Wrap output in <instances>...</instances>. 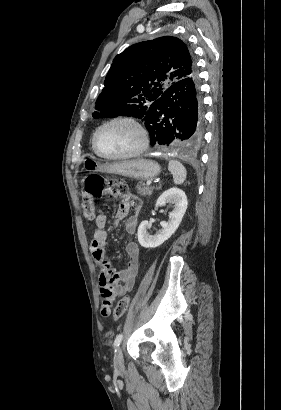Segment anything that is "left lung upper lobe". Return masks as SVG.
<instances>
[{
  "label": "left lung upper lobe",
  "mask_w": 281,
  "mask_h": 410,
  "mask_svg": "<svg viewBox=\"0 0 281 410\" xmlns=\"http://www.w3.org/2000/svg\"><path fill=\"white\" fill-rule=\"evenodd\" d=\"M196 73L186 44L176 37L134 44L114 58L92 116L143 120L169 86Z\"/></svg>",
  "instance_id": "5c2ea615"
}]
</instances>
